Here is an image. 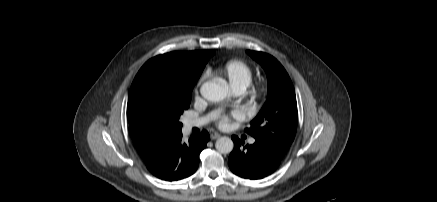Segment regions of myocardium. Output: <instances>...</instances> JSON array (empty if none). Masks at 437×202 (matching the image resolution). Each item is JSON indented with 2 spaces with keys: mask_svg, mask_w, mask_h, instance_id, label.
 <instances>
[{
  "mask_svg": "<svg viewBox=\"0 0 437 202\" xmlns=\"http://www.w3.org/2000/svg\"><path fill=\"white\" fill-rule=\"evenodd\" d=\"M263 90H264V85L261 82H258L252 86V91L254 93L260 94L261 92H263Z\"/></svg>",
  "mask_w": 437,
  "mask_h": 202,
  "instance_id": "f54148a6",
  "label": "myocardium"
}]
</instances>
